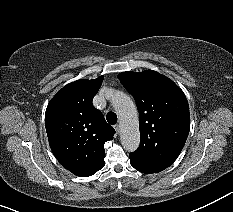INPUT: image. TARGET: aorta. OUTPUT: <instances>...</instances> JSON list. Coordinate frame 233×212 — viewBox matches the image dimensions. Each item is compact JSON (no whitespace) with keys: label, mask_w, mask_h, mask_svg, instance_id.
I'll use <instances>...</instances> for the list:
<instances>
[{"label":"aorta","mask_w":233,"mask_h":212,"mask_svg":"<svg viewBox=\"0 0 233 212\" xmlns=\"http://www.w3.org/2000/svg\"><path fill=\"white\" fill-rule=\"evenodd\" d=\"M107 96L120 119L121 144L126 151L133 152L140 143L136 105L129 96L118 90H109Z\"/></svg>","instance_id":"obj_1"}]
</instances>
